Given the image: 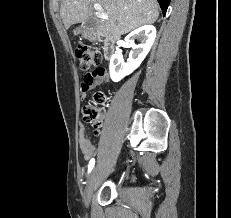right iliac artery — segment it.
<instances>
[{"instance_id":"obj_1","label":"right iliac artery","mask_w":231,"mask_h":218,"mask_svg":"<svg viewBox=\"0 0 231 218\" xmlns=\"http://www.w3.org/2000/svg\"><path fill=\"white\" fill-rule=\"evenodd\" d=\"M94 164H95V159L92 158V159L90 160V162H89V165H88V173L91 172V170H92L93 167H94Z\"/></svg>"}]
</instances>
